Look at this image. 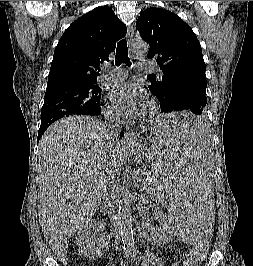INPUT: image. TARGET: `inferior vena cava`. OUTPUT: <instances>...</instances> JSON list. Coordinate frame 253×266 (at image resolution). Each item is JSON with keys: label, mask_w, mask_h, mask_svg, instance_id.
I'll return each mask as SVG.
<instances>
[{"label": "inferior vena cava", "mask_w": 253, "mask_h": 266, "mask_svg": "<svg viewBox=\"0 0 253 266\" xmlns=\"http://www.w3.org/2000/svg\"><path fill=\"white\" fill-rule=\"evenodd\" d=\"M105 124H106V136L110 142L119 141V131L120 126L122 124V120L120 116L115 115L113 113H106L105 114ZM110 178L107 181L106 185L102 191L103 200L109 206V217L112 226V235L117 241L120 240L121 229H120V222H119V214H118V201H117V181L115 174L112 172L110 173Z\"/></svg>", "instance_id": "obj_1"}]
</instances>
